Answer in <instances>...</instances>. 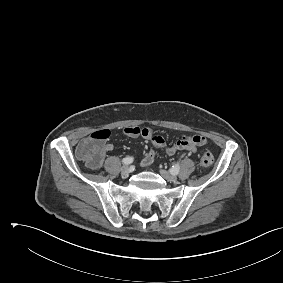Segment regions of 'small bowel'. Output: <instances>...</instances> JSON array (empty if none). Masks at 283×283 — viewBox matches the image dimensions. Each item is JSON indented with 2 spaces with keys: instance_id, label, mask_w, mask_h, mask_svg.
I'll return each mask as SVG.
<instances>
[{
  "instance_id": "c3829d8e",
  "label": "small bowel",
  "mask_w": 283,
  "mask_h": 283,
  "mask_svg": "<svg viewBox=\"0 0 283 283\" xmlns=\"http://www.w3.org/2000/svg\"><path fill=\"white\" fill-rule=\"evenodd\" d=\"M123 133L129 137H142L151 140L155 148L164 149L168 155H173L178 151L195 152L198 147L207 143V139L202 135L184 136L177 140L172 146L166 147L163 137L154 135L150 128H139L135 126L127 127ZM113 150V145L110 143L103 145V153ZM155 158V150H150L142 160L144 167L153 164Z\"/></svg>"
}]
</instances>
